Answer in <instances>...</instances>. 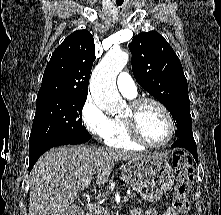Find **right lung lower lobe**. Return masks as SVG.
I'll use <instances>...</instances> for the list:
<instances>
[{
    "instance_id": "right-lung-lower-lobe-1",
    "label": "right lung lower lobe",
    "mask_w": 221,
    "mask_h": 215,
    "mask_svg": "<svg viewBox=\"0 0 221 215\" xmlns=\"http://www.w3.org/2000/svg\"><path fill=\"white\" fill-rule=\"evenodd\" d=\"M91 138V135L87 134L85 136L72 138L69 140H58L50 141L43 144H40L29 150V171L32 169L38 158L50 148L59 146V145H74L87 142Z\"/></svg>"
}]
</instances>
